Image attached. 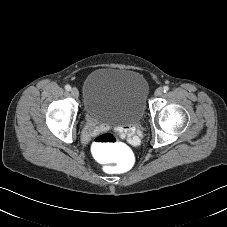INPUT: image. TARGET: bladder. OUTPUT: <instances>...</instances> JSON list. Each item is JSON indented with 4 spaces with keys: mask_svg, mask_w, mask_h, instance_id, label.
Masks as SVG:
<instances>
[{
    "mask_svg": "<svg viewBox=\"0 0 227 227\" xmlns=\"http://www.w3.org/2000/svg\"><path fill=\"white\" fill-rule=\"evenodd\" d=\"M148 85L133 70L98 68L85 79V111L92 118L108 123H137L145 112Z\"/></svg>",
    "mask_w": 227,
    "mask_h": 227,
    "instance_id": "obj_1",
    "label": "bladder"
}]
</instances>
